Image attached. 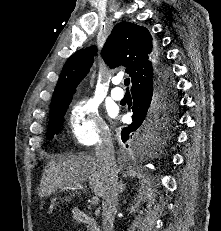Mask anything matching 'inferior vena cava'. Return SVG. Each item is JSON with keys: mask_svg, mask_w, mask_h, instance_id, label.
I'll use <instances>...</instances> for the list:
<instances>
[{"mask_svg": "<svg viewBox=\"0 0 221 231\" xmlns=\"http://www.w3.org/2000/svg\"><path fill=\"white\" fill-rule=\"evenodd\" d=\"M114 154L111 134L109 131H104L95 148V158L102 167L105 178L102 197V226L104 231H113L114 216L118 204V169Z\"/></svg>", "mask_w": 221, "mask_h": 231, "instance_id": "1", "label": "inferior vena cava"}]
</instances>
